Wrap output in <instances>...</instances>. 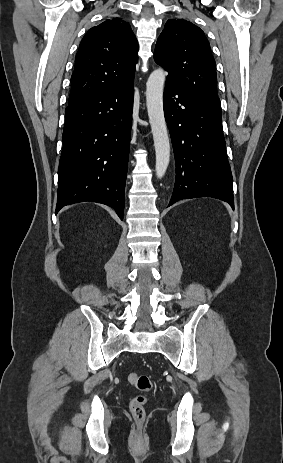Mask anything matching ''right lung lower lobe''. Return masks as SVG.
Returning a JSON list of instances; mask_svg holds the SVG:
<instances>
[{
    "label": "right lung lower lobe",
    "mask_w": 283,
    "mask_h": 463,
    "mask_svg": "<svg viewBox=\"0 0 283 463\" xmlns=\"http://www.w3.org/2000/svg\"><path fill=\"white\" fill-rule=\"evenodd\" d=\"M134 80L68 104L58 169L56 213L92 201L123 220Z\"/></svg>",
    "instance_id": "obj_1"
}]
</instances>
